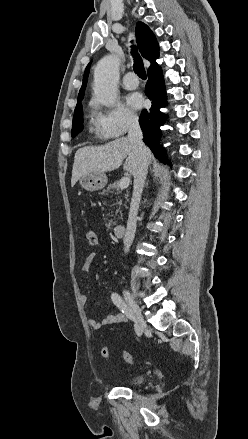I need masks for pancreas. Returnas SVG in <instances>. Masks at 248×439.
<instances>
[{
	"label": "pancreas",
	"instance_id": "cf45deb5",
	"mask_svg": "<svg viewBox=\"0 0 248 439\" xmlns=\"http://www.w3.org/2000/svg\"><path fill=\"white\" fill-rule=\"evenodd\" d=\"M118 191H119V183L118 182H114V183L109 184L108 187L105 190H103L101 194L105 195V194L114 193V192H115V194H118ZM116 201L117 202L114 203V205H119V206L122 205V200L120 198H118ZM117 212H119V210H117ZM114 225H116V222H112V221H109V223L106 224V226L108 228H111Z\"/></svg>",
	"mask_w": 248,
	"mask_h": 439
}]
</instances>
